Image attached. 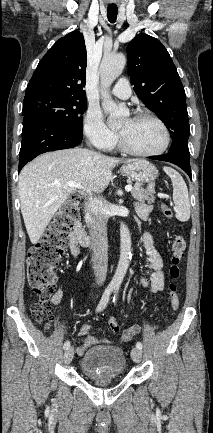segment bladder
Instances as JSON below:
<instances>
[{"label": "bladder", "mask_w": 213, "mask_h": 433, "mask_svg": "<svg viewBox=\"0 0 213 433\" xmlns=\"http://www.w3.org/2000/svg\"><path fill=\"white\" fill-rule=\"evenodd\" d=\"M126 369V357L122 348L100 345L89 349L80 360V371L91 379L119 377Z\"/></svg>", "instance_id": "obj_1"}]
</instances>
